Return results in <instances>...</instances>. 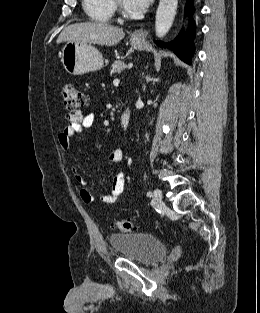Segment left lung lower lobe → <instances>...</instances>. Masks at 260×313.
Listing matches in <instances>:
<instances>
[{
  "mask_svg": "<svg viewBox=\"0 0 260 313\" xmlns=\"http://www.w3.org/2000/svg\"><path fill=\"white\" fill-rule=\"evenodd\" d=\"M194 7L192 4V0H189L186 13L193 14ZM195 36V24L193 20L190 22V34L186 35L181 32L178 37L170 43L164 44L162 42H156L160 47H167L172 49L176 55L186 63L190 64L191 56L194 52L193 39Z\"/></svg>",
  "mask_w": 260,
  "mask_h": 313,
  "instance_id": "obj_1",
  "label": "left lung lower lobe"
}]
</instances>
